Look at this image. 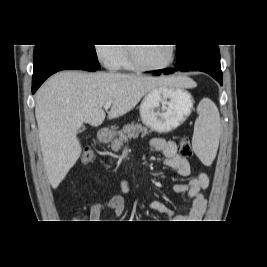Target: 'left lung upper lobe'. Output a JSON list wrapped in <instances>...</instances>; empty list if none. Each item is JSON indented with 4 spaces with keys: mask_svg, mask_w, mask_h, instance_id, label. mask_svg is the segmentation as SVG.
I'll return each instance as SVG.
<instances>
[{
    "mask_svg": "<svg viewBox=\"0 0 267 267\" xmlns=\"http://www.w3.org/2000/svg\"><path fill=\"white\" fill-rule=\"evenodd\" d=\"M216 45L202 44V45H178L177 47V66H181L188 61V59L195 53L202 49L213 47Z\"/></svg>",
    "mask_w": 267,
    "mask_h": 267,
    "instance_id": "left-lung-upper-lobe-1",
    "label": "left lung upper lobe"
}]
</instances>
